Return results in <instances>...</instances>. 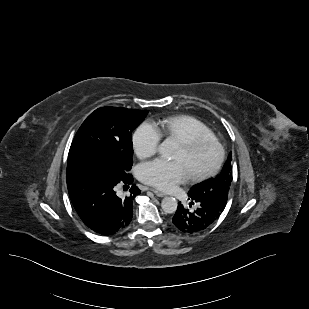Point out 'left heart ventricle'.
Wrapping results in <instances>:
<instances>
[{"label": "left heart ventricle", "mask_w": 309, "mask_h": 309, "mask_svg": "<svg viewBox=\"0 0 309 309\" xmlns=\"http://www.w3.org/2000/svg\"><path fill=\"white\" fill-rule=\"evenodd\" d=\"M175 159L181 160L186 165L190 174L199 172L208 168L215 159V150L211 147H206L196 153H188L181 144Z\"/></svg>", "instance_id": "left-heart-ventricle-1"}]
</instances>
